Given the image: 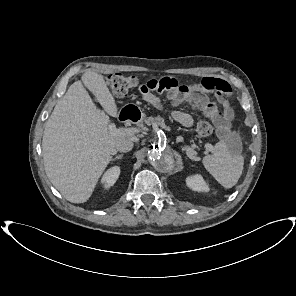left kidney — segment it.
Wrapping results in <instances>:
<instances>
[{
	"mask_svg": "<svg viewBox=\"0 0 296 296\" xmlns=\"http://www.w3.org/2000/svg\"><path fill=\"white\" fill-rule=\"evenodd\" d=\"M186 184L187 186L198 192H208L209 191V186L207 183L204 181L203 177L201 175H194L190 176L186 179Z\"/></svg>",
	"mask_w": 296,
	"mask_h": 296,
	"instance_id": "left-kidney-1",
	"label": "left kidney"
}]
</instances>
